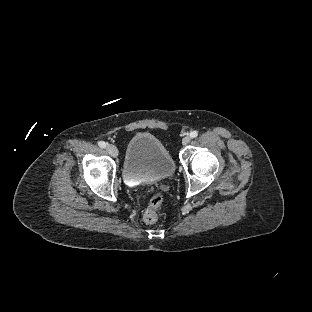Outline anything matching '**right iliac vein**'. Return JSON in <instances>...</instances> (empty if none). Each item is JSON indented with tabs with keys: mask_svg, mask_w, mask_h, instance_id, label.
Here are the masks:
<instances>
[{
	"mask_svg": "<svg viewBox=\"0 0 312 312\" xmlns=\"http://www.w3.org/2000/svg\"><path fill=\"white\" fill-rule=\"evenodd\" d=\"M105 149L113 157H116L118 155L117 147L112 144H107Z\"/></svg>",
	"mask_w": 312,
	"mask_h": 312,
	"instance_id": "obj_1",
	"label": "right iliac vein"
}]
</instances>
